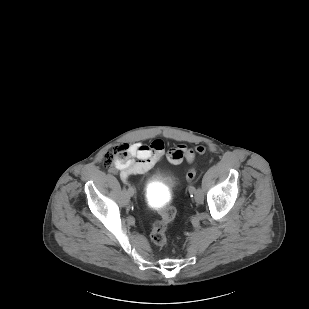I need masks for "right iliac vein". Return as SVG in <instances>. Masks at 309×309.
I'll return each instance as SVG.
<instances>
[{"mask_svg":"<svg viewBox=\"0 0 309 309\" xmlns=\"http://www.w3.org/2000/svg\"><path fill=\"white\" fill-rule=\"evenodd\" d=\"M132 195H128L127 193L125 194V201L126 203H129V199Z\"/></svg>","mask_w":309,"mask_h":309,"instance_id":"63e3f726","label":"right iliac vein"}]
</instances>
